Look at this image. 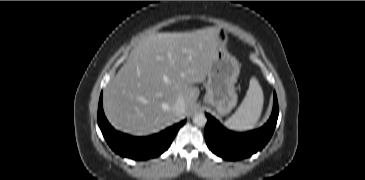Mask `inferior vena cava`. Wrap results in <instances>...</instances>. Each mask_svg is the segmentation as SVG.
I'll return each mask as SVG.
<instances>
[{
	"label": "inferior vena cava",
	"mask_w": 365,
	"mask_h": 180,
	"mask_svg": "<svg viewBox=\"0 0 365 180\" xmlns=\"http://www.w3.org/2000/svg\"><path fill=\"white\" fill-rule=\"evenodd\" d=\"M185 101L184 99L180 98L176 101L175 105H174V110L177 114H183L185 112Z\"/></svg>",
	"instance_id": "602c4592"
}]
</instances>
